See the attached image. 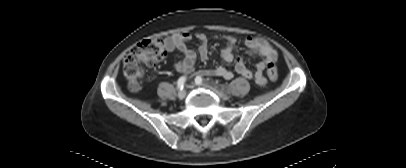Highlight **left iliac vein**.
<instances>
[{"instance_id": "4c4485c4", "label": "left iliac vein", "mask_w": 406, "mask_h": 168, "mask_svg": "<svg viewBox=\"0 0 406 168\" xmlns=\"http://www.w3.org/2000/svg\"><path fill=\"white\" fill-rule=\"evenodd\" d=\"M197 85H198V84H197ZM199 85H201V84H199ZM203 86H204V87H208L207 85H203ZM218 95L221 96V97L223 96L221 93H218Z\"/></svg>"}]
</instances>
